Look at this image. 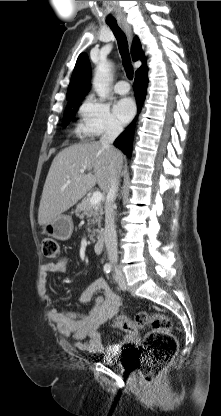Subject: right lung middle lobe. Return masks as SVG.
Returning a JSON list of instances; mask_svg holds the SVG:
<instances>
[{
    "label": "right lung middle lobe",
    "mask_w": 221,
    "mask_h": 416,
    "mask_svg": "<svg viewBox=\"0 0 221 416\" xmlns=\"http://www.w3.org/2000/svg\"><path fill=\"white\" fill-rule=\"evenodd\" d=\"M81 100H77V101L68 103V106L65 110V117H64V125L65 126L69 124V118L75 114L76 110L78 109V107L80 105Z\"/></svg>",
    "instance_id": "1"
}]
</instances>
